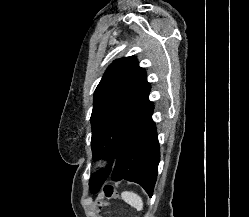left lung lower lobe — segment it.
I'll use <instances>...</instances> for the list:
<instances>
[{"label": "left lung lower lobe", "instance_id": "0a47b994", "mask_svg": "<svg viewBox=\"0 0 249 217\" xmlns=\"http://www.w3.org/2000/svg\"><path fill=\"white\" fill-rule=\"evenodd\" d=\"M153 103L148 95L122 122L117 139L116 165L112 179L140 184L152 196L160 160L155 123L152 120ZM104 170L93 175L97 190L107 178ZM93 192V193H95Z\"/></svg>", "mask_w": 249, "mask_h": 217}]
</instances>
